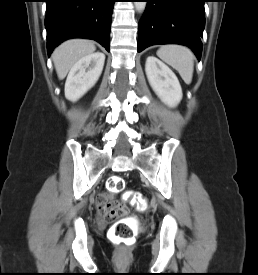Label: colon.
I'll return each instance as SVG.
<instances>
[{
	"label": "colon",
	"instance_id": "obj_1",
	"mask_svg": "<svg viewBox=\"0 0 258 275\" xmlns=\"http://www.w3.org/2000/svg\"><path fill=\"white\" fill-rule=\"evenodd\" d=\"M125 182L119 176H113L109 179L107 188L111 193H118L123 190ZM124 200L130 202L140 211H145L148 208V201L141 193L137 191H128L124 194ZM127 210L124 207L120 208H107L103 212L106 219H113L116 216L126 215ZM108 238L115 243L130 246L134 242L133 230L127 226L122 220L116 221L108 231Z\"/></svg>",
	"mask_w": 258,
	"mask_h": 275
}]
</instances>
